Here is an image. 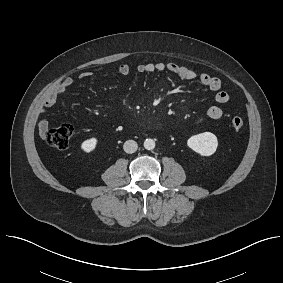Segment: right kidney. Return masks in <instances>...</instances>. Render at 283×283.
I'll return each mask as SVG.
<instances>
[{
	"instance_id": "obj_1",
	"label": "right kidney",
	"mask_w": 283,
	"mask_h": 283,
	"mask_svg": "<svg viewBox=\"0 0 283 283\" xmlns=\"http://www.w3.org/2000/svg\"><path fill=\"white\" fill-rule=\"evenodd\" d=\"M98 140L95 137L89 138L82 142L81 149L86 152H92L97 146Z\"/></svg>"
}]
</instances>
